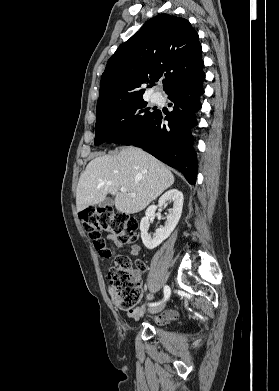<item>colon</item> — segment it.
Wrapping results in <instances>:
<instances>
[{
  "mask_svg": "<svg viewBox=\"0 0 279 391\" xmlns=\"http://www.w3.org/2000/svg\"><path fill=\"white\" fill-rule=\"evenodd\" d=\"M79 218L102 258H109L112 254L110 240L121 244H131L138 240L137 220L126 213L115 212L111 207L85 209L79 213ZM103 232L109 233L112 239L102 237ZM138 268L143 269V264H138ZM108 279L111 296L118 308L130 311L141 301L143 290L126 256L119 255L116 258L115 265L109 270Z\"/></svg>",
  "mask_w": 279,
  "mask_h": 391,
  "instance_id": "1",
  "label": "colon"
}]
</instances>
